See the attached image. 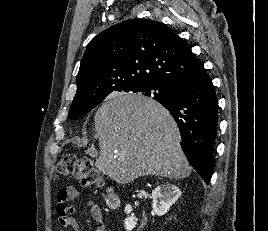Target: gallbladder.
Listing matches in <instances>:
<instances>
[{
	"instance_id": "obj_1",
	"label": "gallbladder",
	"mask_w": 268,
	"mask_h": 231,
	"mask_svg": "<svg viewBox=\"0 0 268 231\" xmlns=\"http://www.w3.org/2000/svg\"><path fill=\"white\" fill-rule=\"evenodd\" d=\"M87 153L90 154V155H96L97 154V152L92 150V149H88Z\"/></svg>"
}]
</instances>
